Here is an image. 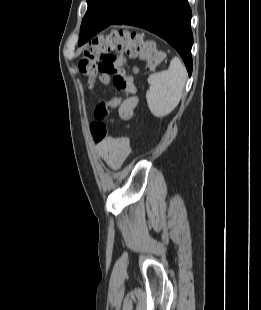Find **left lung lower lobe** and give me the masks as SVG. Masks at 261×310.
Segmentation results:
<instances>
[{"instance_id": "left-lung-lower-lobe-1", "label": "left lung lower lobe", "mask_w": 261, "mask_h": 310, "mask_svg": "<svg viewBox=\"0 0 261 310\" xmlns=\"http://www.w3.org/2000/svg\"><path fill=\"white\" fill-rule=\"evenodd\" d=\"M191 9L187 0H126L120 12L109 21L90 20L81 26L78 45L109 25H132L151 31L170 43L192 73L190 27Z\"/></svg>"}]
</instances>
